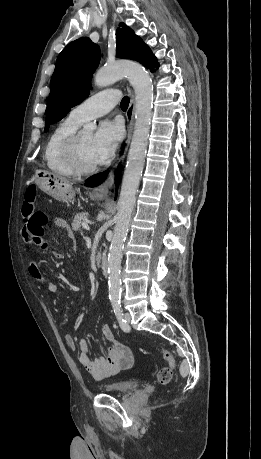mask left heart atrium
<instances>
[{
    "label": "left heart atrium",
    "instance_id": "obj_1",
    "mask_svg": "<svg viewBox=\"0 0 261 459\" xmlns=\"http://www.w3.org/2000/svg\"><path fill=\"white\" fill-rule=\"evenodd\" d=\"M123 138V128L118 121H103L93 135V156L96 164L110 161Z\"/></svg>",
    "mask_w": 261,
    "mask_h": 459
}]
</instances>
